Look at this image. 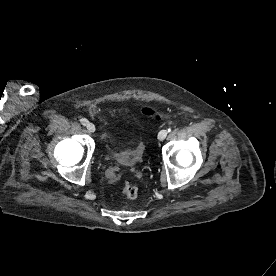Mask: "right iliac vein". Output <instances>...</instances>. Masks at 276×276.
I'll list each match as a JSON object with an SVG mask.
<instances>
[{
    "mask_svg": "<svg viewBox=\"0 0 276 276\" xmlns=\"http://www.w3.org/2000/svg\"><path fill=\"white\" fill-rule=\"evenodd\" d=\"M86 128H87V130H88L90 133L95 132V126H94L93 123H88V124L86 125Z\"/></svg>",
    "mask_w": 276,
    "mask_h": 276,
    "instance_id": "right-iliac-vein-1",
    "label": "right iliac vein"
}]
</instances>
